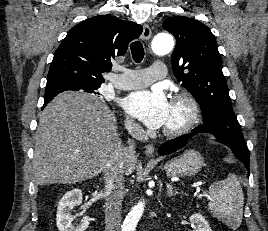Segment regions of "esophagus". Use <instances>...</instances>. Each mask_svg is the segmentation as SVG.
Listing matches in <instances>:
<instances>
[{
  "instance_id": "34e87169",
  "label": "esophagus",
  "mask_w": 268,
  "mask_h": 231,
  "mask_svg": "<svg viewBox=\"0 0 268 231\" xmlns=\"http://www.w3.org/2000/svg\"><path fill=\"white\" fill-rule=\"evenodd\" d=\"M151 36V29L147 24L143 25V32H142V39L148 40ZM145 155L150 158L151 160H155V148L152 144H148L144 151Z\"/></svg>"
}]
</instances>
